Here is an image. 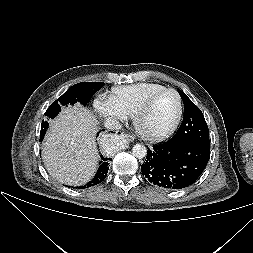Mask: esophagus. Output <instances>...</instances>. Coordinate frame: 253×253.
I'll list each match as a JSON object with an SVG mask.
<instances>
[{"label": "esophagus", "instance_id": "obj_1", "mask_svg": "<svg viewBox=\"0 0 253 253\" xmlns=\"http://www.w3.org/2000/svg\"><path fill=\"white\" fill-rule=\"evenodd\" d=\"M116 133H117L118 135H120L121 137H124V138L130 139V136H129L128 134H125L124 132L117 131Z\"/></svg>", "mask_w": 253, "mask_h": 253}]
</instances>
